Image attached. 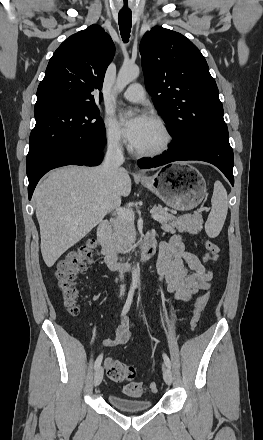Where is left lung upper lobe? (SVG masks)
Instances as JSON below:
<instances>
[{"label": "left lung upper lobe", "mask_w": 263, "mask_h": 440, "mask_svg": "<svg viewBox=\"0 0 263 440\" xmlns=\"http://www.w3.org/2000/svg\"><path fill=\"white\" fill-rule=\"evenodd\" d=\"M146 88L169 126L173 143L190 153L228 136L219 92L204 56L182 34L153 27L140 43Z\"/></svg>", "instance_id": "1"}]
</instances>
